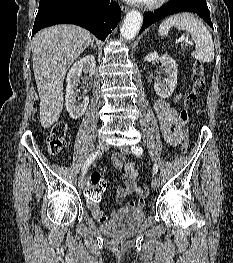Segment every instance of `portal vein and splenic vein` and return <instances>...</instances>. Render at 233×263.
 Returning <instances> with one entry per match:
<instances>
[{
    "label": "portal vein and splenic vein",
    "instance_id": "1",
    "mask_svg": "<svg viewBox=\"0 0 233 263\" xmlns=\"http://www.w3.org/2000/svg\"><path fill=\"white\" fill-rule=\"evenodd\" d=\"M188 41L185 36H181L179 39H178V42H183V41Z\"/></svg>",
    "mask_w": 233,
    "mask_h": 263
}]
</instances>
